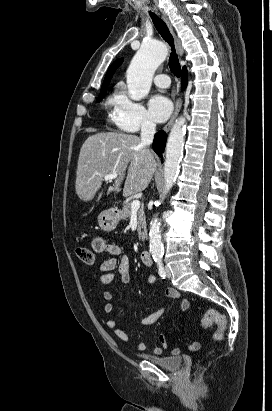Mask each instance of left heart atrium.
<instances>
[{
  "instance_id": "obj_1",
  "label": "left heart atrium",
  "mask_w": 272,
  "mask_h": 411,
  "mask_svg": "<svg viewBox=\"0 0 272 411\" xmlns=\"http://www.w3.org/2000/svg\"><path fill=\"white\" fill-rule=\"evenodd\" d=\"M149 109L157 122L165 121L171 114L172 103L164 95H154L149 100Z\"/></svg>"
}]
</instances>
